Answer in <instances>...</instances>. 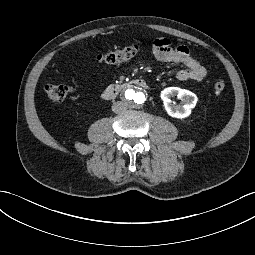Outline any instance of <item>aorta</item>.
Returning <instances> with one entry per match:
<instances>
[{
  "mask_svg": "<svg viewBox=\"0 0 255 255\" xmlns=\"http://www.w3.org/2000/svg\"><path fill=\"white\" fill-rule=\"evenodd\" d=\"M123 98L130 107H140L146 101L145 94L139 87L128 88L123 94Z\"/></svg>",
  "mask_w": 255,
  "mask_h": 255,
  "instance_id": "762f6f07",
  "label": "aorta"
}]
</instances>
